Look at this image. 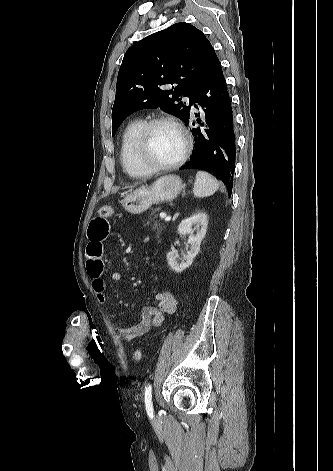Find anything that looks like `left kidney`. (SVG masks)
<instances>
[{
  "mask_svg": "<svg viewBox=\"0 0 333 471\" xmlns=\"http://www.w3.org/2000/svg\"><path fill=\"white\" fill-rule=\"evenodd\" d=\"M207 225V215L201 212L181 221L178 226V233L183 236L189 235L188 243L190 245V249L187 251V255L184 257L182 262L178 261V252L176 250H172L167 253V261L173 271L180 273L192 264L200 250L201 241L207 231ZM193 226H195L197 231L195 235H193Z\"/></svg>",
  "mask_w": 333,
  "mask_h": 471,
  "instance_id": "5707ae66",
  "label": "left kidney"
}]
</instances>
